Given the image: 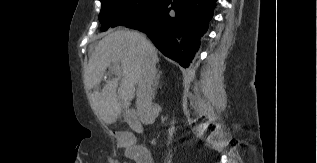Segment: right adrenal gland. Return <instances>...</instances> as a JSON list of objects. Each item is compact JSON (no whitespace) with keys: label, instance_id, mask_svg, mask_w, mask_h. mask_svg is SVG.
Returning <instances> with one entry per match:
<instances>
[{"label":"right adrenal gland","instance_id":"2a0ac1e0","mask_svg":"<svg viewBox=\"0 0 317 163\" xmlns=\"http://www.w3.org/2000/svg\"><path fill=\"white\" fill-rule=\"evenodd\" d=\"M161 74H162V72L159 71L158 74H157V76H156V78H155L154 85H153V91H154V93L156 92V89H157V87H158Z\"/></svg>","mask_w":317,"mask_h":163}]
</instances>
